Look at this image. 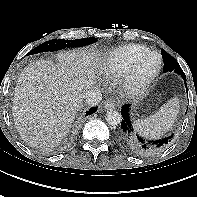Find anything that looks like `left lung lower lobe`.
<instances>
[{"label": "left lung lower lobe", "instance_id": "left-lung-lower-lobe-1", "mask_svg": "<svg viewBox=\"0 0 197 197\" xmlns=\"http://www.w3.org/2000/svg\"><path fill=\"white\" fill-rule=\"evenodd\" d=\"M183 79L186 80V77H183ZM185 86L187 88L186 82ZM121 115L123 119L118 131L117 138L119 143L130 152L138 155L157 152L163 149L167 144H169V142L173 138V135H171L158 140H147L135 134L134 126L130 118V104L122 106Z\"/></svg>", "mask_w": 197, "mask_h": 197}]
</instances>
